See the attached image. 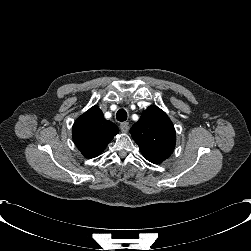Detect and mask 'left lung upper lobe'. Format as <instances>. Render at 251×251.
Instances as JSON below:
<instances>
[{
    "label": "left lung upper lobe",
    "mask_w": 251,
    "mask_h": 251,
    "mask_svg": "<svg viewBox=\"0 0 251 251\" xmlns=\"http://www.w3.org/2000/svg\"><path fill=\"white\" fill-rule=\"evenodd\" d=\"M130 133L143 156L152 163H161L175 148L174 126L166 113L157 106L151 105L143 111Z\"/></svg>",
    "instance_id": "left-lung-upper-lobe-1"
}]
</instances>
